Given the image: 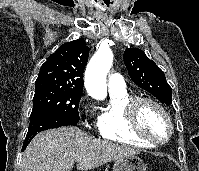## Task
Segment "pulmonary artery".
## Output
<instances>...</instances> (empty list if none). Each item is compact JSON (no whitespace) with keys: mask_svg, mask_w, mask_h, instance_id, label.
<instances>
[{"mask_svg":"<svg viewBox=\"0 0 199 171\" xmlns=\"http://www.w3.org/2000/svg\"><path fill=\"white\" fill-rule=\"evenodd\" d=\"M108 87L110 91H121L125 89V82L118 73H112L108 79Z\"/></svg>","mask_w":199,"mask_h":171,"instance_id":"obj_1","label":"pulmonary artery"}]
</instances>
